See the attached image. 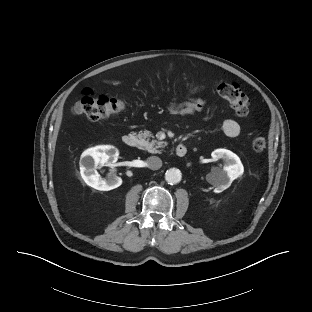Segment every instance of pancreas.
<instances>
[{"label": "pancreas", "mask_w": 312, "mask_h": 312, "mask_svg": "<svg viewBox=\"0 0 312 312\" xmlns=\"http://www.w3.org/2000/svg\"><path fill=\"white\" fill-rule=\"evenodd\" d=\"M140 139V148L143 150H147L150 153H160V148H164L167 143L164 141L152 140L149 141V137H153L150 131L140 132L138 135Z\"/></svg>", "instance_id": "obj_1"}]
</instances>
